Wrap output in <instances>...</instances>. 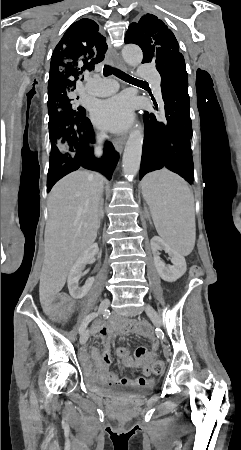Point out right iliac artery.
<instances>
[{
  "label": "right iliac artery",
  "instance_id": "1",
  "mask_svg": "<svg viewBox=\"0 0 241 450\" xmlns=\"http://www.w3.org/2000/svg\"><path fill=\"white\" fill-rule=\"evenodd\" d=\"M97 316V313L93 312L91 313L81 324L80 328H79V333L82 334L84 332V330L86 329L88 323L93 320L95 317Z\"/></svg>",
  "mask_w": 241,
  "mask_h": 450
}]
</instances>
